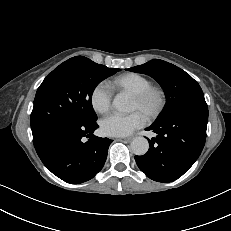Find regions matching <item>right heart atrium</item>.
Returning a JSON list of instances; mask_svg holds the SVG:
<instances>
[{
	"label": "right heart atrium",
	"mask_w": 231,
	"mask_h": 231,
	"mask_svg": "<svg viewBox=\"0 0 231 231\" xmlns=\"http://www.w3.org/2000/svg\"><path fill=\"white\" fill-rule=\"evenodd\" d=\"M112 91L105 83H98L91 91L90 103L100 114L106 113L111 107Z\"/></svg>",
	"instance_id": "1"
}]
</instances>
